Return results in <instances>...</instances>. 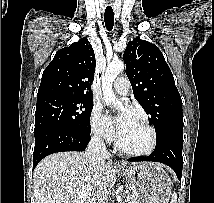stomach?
Listing matches in <instances>:
<instances>
[{
	"label": "stomach",
	"instance_id": "1",
	"mask_svg": "<svg viewBox=\"0 0 214 203\" xmlns=\"http://www.w3.org/2000/svg\"><path fill=\"white\" fill-rule=\"evenodd\" d=\"M120 172L128 180L138 203H169L171 181L159 164L145 162Z\"/></svg>",
	"mask_w": 214,
	"mask_h": 203
}]
</instances>
